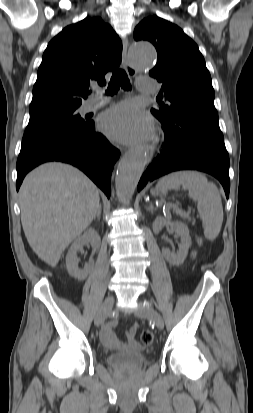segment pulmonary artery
<instances>
[{
  "instance_id": "1",
  "label": "pulmonary artery",
  "mask_w": 253,
  "mask_h": 413,
  "mask_svg": "<svg viewBox=\"0 0 253 413\" xmlns=\"http://www.w3.org/2000/svg\"><path fill=\"white\" fill-rule=\"evenodd\" d=\"M139 89L143 92L153 93L157 90V87H156V84L154 82L149 81L145 85L140 86ZM108 102H109V98L94 97V98L88 100L84 104L83 108L86 112H89V111H93V110L105 105Z\"/></svg>"
}]
</instances>
